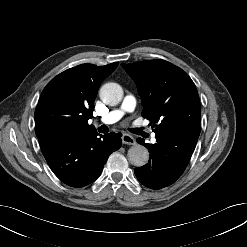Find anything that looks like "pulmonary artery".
I'll list each match as a JSON object with an SVG mask.
<instances>
[{"mask_svg":"<svg viewBox=\"0 0 247 247\" xmlns=\"http://www.w3.org/2000/svg\"><path fill=\"white\" fill-rule=\"evenodd\" d=\"M136 106V100L132 95H128L123 100L122 105L110 111L106 115L102 116L100 118V122L104 124H113L117 121H119L125 113L132 112L135 109ZM152 139H155V135H152Z\"/></svg>","mask_w":247,"mask_h":247,"instance_id":"1","label":"pulmonary artery"}]
</instances>
